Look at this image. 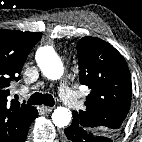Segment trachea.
I'll return each instance as SVG.
<instances>
[{"instance_id":"trachea-1","label":"trachea","mask_w":142,"mask_h":142,"mask_svg":"<svg viewBox=\"0 0 142 142\" xmlns=\"http://www.w3.org/2000/svg\"><path fill=\"white\" fill-rule=\"evenodd\" d=\"M31 105H41L44 104L46 106H54L55 101L52 95L50 94H42L39 92L34 93L27 101Z\"/></svg>"}]
</instances>
